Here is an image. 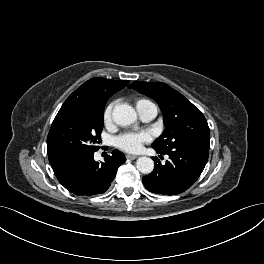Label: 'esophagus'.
I'll list each match as a JSON object with an SVG mask.
<instances>
[{
	"label": "esophagus",
	"instance_id": "1",
	"mask_svg": "<svg viewBox=\"0 0 264 264\" xmlns=\"http://www.w3.org/2000/svg\"><path fill=\"white\" fill-rule=\"evenodd\" d=\"M126 158L130 159V160H134V159L138 158V156L137 155H132V154H127Z\"/></svg>",
	"mask_w": 264,
	"mask_h": 264
}]
</instances>
